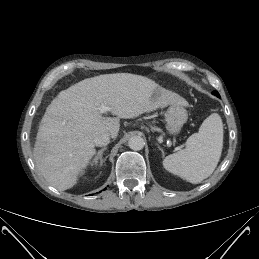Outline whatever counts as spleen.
I'll return each mask as SVG.
<instances>
[{"instance_id": "3e777b00", "label": "spleen", "mask_w": 259, "mask_h": 259, "mask_svg": "<svg viewBox=\"0 0 259 259\" xmlns=\"http://www.w3.org/2000/svg\"><path fill=\"white\" fill-rule=\"evenodd\" d=\"M223 148V123L217 113L207 117L198 133L192 134L186 147L163 160L170 173L198 184L211 176L220 160Z\"/></svg>"}]
</instances>
